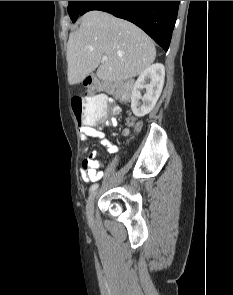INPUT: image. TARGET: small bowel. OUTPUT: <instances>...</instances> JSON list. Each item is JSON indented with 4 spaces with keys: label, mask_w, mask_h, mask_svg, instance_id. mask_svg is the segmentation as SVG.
<instances>
[{
    "label": "small bowel",
    "mask_w": 233,
    "mask_h": 295,
    "mask_svg": "<svg viewBox=\"0 0 233 295\" xmlns=\"http://www.w3.org/2000/svg\"><path fill=\"white\" fill-rule=\"evenodd\" d=\"M115 124V120L108 121V125L110 126H114ZM79 135L81 142L83 143L82 155H84L86 152V142L90 137L98 139L99 142L104 147H106L108 152L112 155L117 154L119 151L118 147L105 137L102 128H96L92 124L84 125L80 127ZM97 156L98 153L96 151H91L89 155L82 160L80 175L86 182L97 181L103 176V172L100 170L102 164L97 159Z\"/></svg>",
    "instance_id": "c3829d8e"
}]
</instances>
